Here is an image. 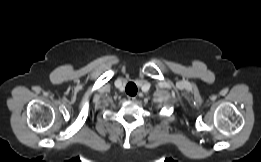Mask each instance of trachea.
Wrapping results in <instances>:
<instances>
[{
  "instance_id": "3493384b",
  "label": "trachea",
  "mask_w": 261,
  "mask_h": 162,
  "mask_svg": "<svg viewBox=\"0 0 261 162\" xmlns=\"http://www.w3.org/2000/svg\"><path fill=\"white\" fill-rule=\"evenodd\" d=\"M126 93L130 96H135L137 94V86L133 82L128 83Z\"/></svg>"
}]
</instances>
